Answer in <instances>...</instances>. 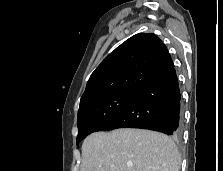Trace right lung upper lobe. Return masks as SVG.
I'll return each mask as SVG.
<instances>
[{
	"instance_id": "cb5924a9",
	"label": "right lung upper lobe",
	"mask_w": 223,
	"mask_h": 171,
	"mask_svg": "<svg viewBox=\"0 0 223 171\" xmlns=\"http://www.w3.org/2000/svg\"><path fill=\"white\" fill-rule=\"evenodd\" d=\"M173 67L165 44L156 35L136 34L110 53L91 74L80 107L111 93H139Z\"/></svg>"
}]
</instances>
